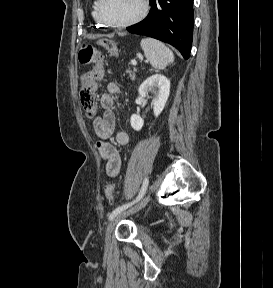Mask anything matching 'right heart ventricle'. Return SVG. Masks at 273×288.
<instances>
[{
  "label": "right heart ventricle",
  "instance_id": "obj_1",
  "mask_svg": "<svg viewBox=\"0 0 273 288\" xmlns=\"http://www.w3.org/2000/svg\"><path fill=\"white\" fill-rule=\"evenodd\" d=\"M97 4H98V0H94L93 4H92L91 15H92V18L95 21V23L98 25H101L102 23L100 22V20L98 19V16H97Z\"/></svg>",
  "mask_w": 273,
  "mask_h": 288
}]
</instances>
